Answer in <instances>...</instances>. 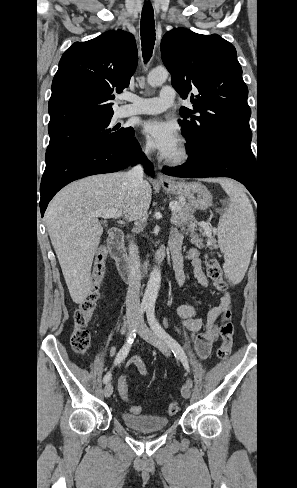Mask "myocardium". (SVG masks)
Returning <instances> with one entry per match:
<instances>
[{"mask_svg": "<svg viewBox=\"0 0 297 488\" xmlns=\"http://www.w3.org/2000/svg\"><path fill=\"white\" fill-rule=\"evenodd\" d=\"M190 156H191V151L188 142L184 139H181L179 143L178 154L174 157H167L165 159V163L173 167L181 166L186 164L189 161Z\"/></svg>", "mask_w": 297, "mask_h": 488, "instance_id": "1", "label": "myocardium"}]
</instances>
